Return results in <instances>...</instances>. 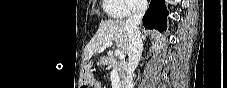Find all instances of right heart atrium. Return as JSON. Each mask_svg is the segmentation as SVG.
Returning a JSON list of instances; mask_svg holds the SVG:
<instances>
[{
    "label": "right heart atrium",
    "instance_id": "d8ad5b80",
    "mask_svg": "<svg viewBox=\"0 0 227 88\" xmlns=\"http://www.w3.org/2000/svg\"><path fill=\"white\" fill-rule=\"evenodd\" d=\"M125 1L128 6V9L125 14L126 16H130L136 13L144 3L143 0H125Z\"/></svg>",
    "mask_w": 227,
    "mask_h": 88
}]
</instances>
